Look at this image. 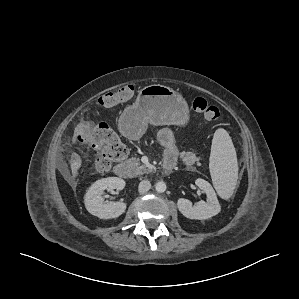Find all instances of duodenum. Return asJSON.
Returning <instances> with one entry per match:
<instances>
[{
	"instance_id": "obj_1",
	"label": "duodenum",
	"mask_w": 299,
	"mask_h": 299,
	"mask_svg": "<svg viewBox=\"0 0 299 299\" xmlns=\"http://www.w3.org/2000/svg\"><path fill=\"white\" fill-rule=\"evenodd\" d=\"M174 167L173 163L164 162L163 168L165 171H171ZM114 172L117 176L121 178H127L130 176L129 165L125 162H121L114 167Z\"/></svg>"
}]
</instances>
